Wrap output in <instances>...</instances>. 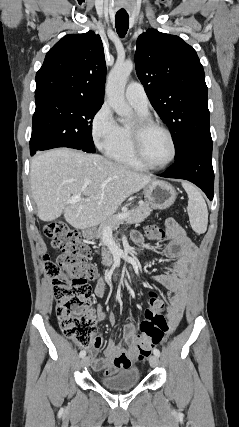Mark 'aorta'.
Masks as SVG:
<instances>
[{
  "instance_id": "762f6f07",
  "label": "aorta",
  "mask_w": 239,
  "mask_h": 427,
  "mask_svg": "<svg viewBox=\"0 0 239 427\" xmlns=\"http://www.w3.org/2000/svg\"><path fill=\"white\" fill-rule=\"evenodd\" d=\"M133 67L131 61L116 63L109 73L106 86L110 106L117 115L125 119L132 116V109L125 101L124 90Z\"/></svg>"
}]
</instances>
